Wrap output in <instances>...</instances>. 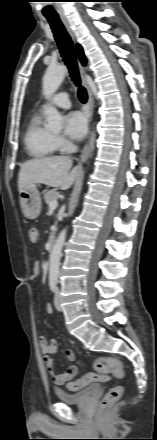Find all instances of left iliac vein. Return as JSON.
Listing matches in <instances>:
<instances>
[{"label":"left iliac vein","instance_id":"left-iliac-vein-1","mask_svg":"<svg viewBox=\"0 0 157 440\" xmlns=\"http://www.w3.org/2000/svg\"><path fill=\"white\" fill-rule=\"evenodd\" d=\"M54 304H55V307H56V309L58 311L62 310V307H61V294H60V289L59 288H57L56 292H55Z\"/></svg>","mask_w":157,"mask_h":440}]
</instances>
